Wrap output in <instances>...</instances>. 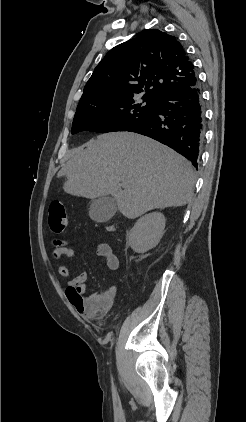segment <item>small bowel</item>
Returning <instances> with one entry per match:
<instances>
[{
	"label": "small bowel",
	"mask_w": 246,
	"mask_h": 422,
	"mask_svg": "<svg viewBox=\"0 0 246 422\" xmlns=\"http://www.w3.org/2000/svg\"><path fill=\"white\" fill-rule=\"evenodd\" d=\"M94 247L97 255L102 258L107 267L116 271L119 268V260L113 252L111 246L105 242H95ZM53 255L55 258L65 257L72 259L75 251L72 247L62 242H56ZM59 276L68 278L71 276V270L65 265H60L57 269ZM87 274L81 272L68 281L65 287V295L76 310L88 320L103 318L113 307L116 296V287L112 286L99 294L86 296Z\"/></svg>",
	"instance_id": "c3829d8e"
}]
</instances>
